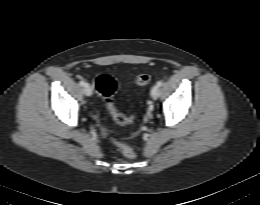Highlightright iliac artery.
I'll return each mask as SVG.
<instances>
[{
	"instance_id": "right-iliac-artery-1",
	"label": "right iliac artery",
	"mask_w": 260,
	"mask_h": 205,
	"mask_svg": "<svg viewBox=\"0 0 260 205\" xmlns=\"http://www.w3.org/2000/svg\"><path fill=\"white\" fill-rule=\"evenodd\" d=\"M86 84H87V83H86L84 80H81V81H80V85H81V86H85Z\"/></svg>"
}]
</instances>
